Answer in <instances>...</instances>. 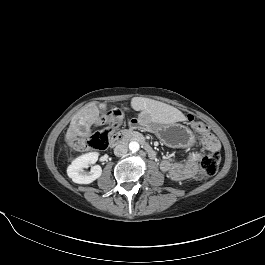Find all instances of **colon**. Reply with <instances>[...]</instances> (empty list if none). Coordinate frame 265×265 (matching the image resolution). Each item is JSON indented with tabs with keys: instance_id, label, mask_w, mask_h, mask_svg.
I'll use <instances>...</instances> for the list:
<instances>
[{
	"instance_id": "colon-1",
	"label": "colon",
	"mask_w": 265,
	"mask_h": 265,
	"mask_svg": "<svg viewBox=\"0 0 265 265\" xmlns=\"http://www.w3.org/2000/svg\"><path fill=\"white\" fill-rule=\"evenodd\" d=\"M125 109L114 108L106 112L98 121L100 130L94 132L89 138L85 140V147L88 149L103 150L108 145L111 133L114 129L118 128L123 120ZM191 126L202 136H206L207 127L199 121H195L193 117L188 118ZM221 163V155L218 150H209L202 158L200 164L199 178L201 180L212 177L216 174Z\"/></svg>"
}]
</instances>
